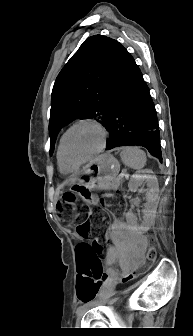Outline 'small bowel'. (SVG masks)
Instances as JSON below:
<instances>
[{
    "instance_id": "obj_1",
    "label": "small bowel",
    "mask_w": 193,
    "mask_h": 336,
    "mask_svg": "<svg viewBox=\"0 0 193 336\" xmlns=\"http://www.w3.org/2000/svg\"><path fill=\"white\" fill-rule=\"evenodd\" d=\"M109 237L112 244L107 249L105 265L109 282L113 283L118 279V273L113 265L119 263L120 267L127 272L138 268L142 262V252L145 249L146 241L130 225L120 220L113 223ZM78 274V289L85 288L90 294L95 284H93L87 272H81L78 269Z\"/></svg>"
}]
</instances>
